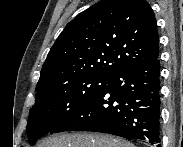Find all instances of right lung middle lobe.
<instances>
[{"label": "right lung middle lobe", "instance_id": "dd1d6c3e", "mask_svg": "<svg viewBox=\"0 0 183 147\" xmlns=\"http://www.w3.org/2000/svg\"><path fill=\"white\" fill-rule=\"evenodd\" d=\"M110 78L83 77L36 90L27 124L29 142L50 133L78 107L107 84Z\"/></svg>", "mask_w": 183, "mask_h": 147}]
</instances>
